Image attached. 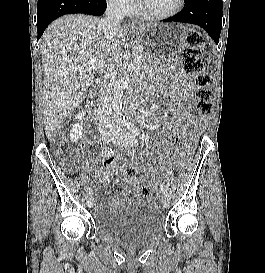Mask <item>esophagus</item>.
Masks as SVG:
<instances>
[{
    "label": "esophagus",
    "mask_w": 265,
    "mask_h": 273,
    "mask_svg": "<svg viewBox=\"0 0 265 273\" xmlns=\"http://www.w3.org/2000/svg\"><path fill=\"white\" fill-rule=\"evenodd\" d=\"M130 23H131L132 25H139V24H140V22L137 21V20H131Z\"/></svg>",
    "instance_id": "34e87169"
}]
</instances>
